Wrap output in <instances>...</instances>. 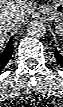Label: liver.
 <instances>
[{
	"label": "liver",
	"mask_w": 63,
	"mask_h": 107,
	"mask_svg": "<svg viewBox=\"0 0 63 107\" xmlns=\"http://www.w3.org/2000/svg\"><path fill=\"white\" fill-rule=\"evenodd\" d=\"M30 12L27 0H0V20L8 16L17 18L16 24L25 22ZM10 29L2 27L0 24V43L3 44L6 40L7 33Z\"/></svg>",
	"instance_id": "obj_1"
}]
</instances>
